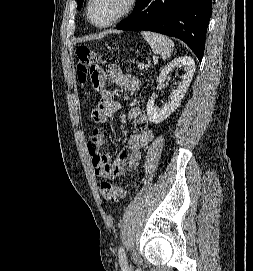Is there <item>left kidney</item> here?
Masks as SVG:
<instances>
[{
  "instance_id": "left-kidney-1",
  "label": "left kidney",
  "mask_w": 253,
  "mask_h": 271,
  "mask_svg": "<svg viewBox=\"0 0 253 271\" xmlns=\"http://www.w3.org/2000/svg\"><path fill=\"white\" fill-rule=\"evenodd\" d=\"M174 69H183L184 74L181 81L178 82L176 89L170 95V99L161 108L155 106V96H151L147 102V116L150 122L158 124L174 112L180 105L185 93L192 81L195 72V62L191 57H178L167 64L161 71L157 82L161 83L167 80L169 73Z\"/></svg>"
}]
</instances>
